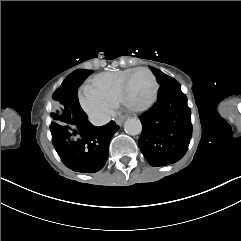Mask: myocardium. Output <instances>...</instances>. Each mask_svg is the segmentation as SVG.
<instances>
[{"mask_svg": "<svg viewBox=\"0 0 241 241\" xmlns=\"http://www.w3.org/2000/svg\"><path fill=\"white\" fill-rule=\"evenodd\" d=\"M139 73H144L147 76H150V79L153 82V91L154 92L151 96V100L149 102H147L146 105L142 108V109H144L143 113L147 114L148 110H150L153 107L152 102L156 101V97L158 96L157 91H158V88H159V82L157 80V77L151 70H147V69H144V68H141V67H137L133 73H131L130 75H125L123 77V80H122V95L120 96L119 102L124 103L125 100L128 99L127 98L128 96H126V95H128L127 90L129 88V82Z\"/></svg>", "mask_w": 241, "mask_h": 241, "instance_id": "myocardium-1", "label": "myocardium"}]
</instances>
